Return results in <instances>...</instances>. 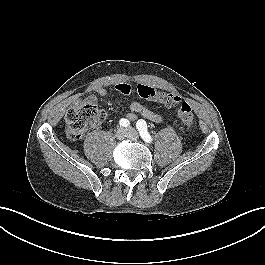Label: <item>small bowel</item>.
<instances>
[{"instance_id": "small-bowel-1", "label": "small bowel", "mask_w": 265, "mask_h": 265, "mask_svg": "<svg viewBox=\"0 0 265 265\" xmlns=\"http://www.w3.org/2000/svg\"><path fill=\"white\" fill-rule=\"evenodd\" d=\"M116 90L123 94V95H129L130 94V86L126 83H120L116 86ZM171 92H165V94H168ZM174 94V93H173ZM97 95L100 97H105L107 95V90L105 88H98L97 89ZM87 102H93L96 103L97 102V97L92 95L89 96L87 99ZM159 103L163 104L164 106L168 107V108H173L174 105L172 104H167L164 103L162 101H158ZM140 115L142 116L144 119L153 122V123H161L163 118L160 114L151 111L150 109H148L144 104L137 102V101H132L130 103V112L128 113V118L132 121L137 119V116Z\"/></svg>"}]
</instances>
